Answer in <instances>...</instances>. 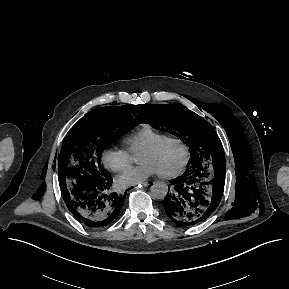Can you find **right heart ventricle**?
<instances>
[{
    "label": "right heart ventricle",
    "instance_id": "right-heart-ventricle-1",
    "mask_svg": "<svg viewBox=\"0 0 289 289\" xmlns=\"http://www.w3.org/2000/svg\"><path fill=\"white\" fill-rule=\"evenodd\" d=\"M167 136L166 133L158 131L150 125H144L126 134L123 141L127 144L130 152L139 153Z\"/></svg>",
    "mask_w": 289,
    "mask_h": 289
}]
</instances>
